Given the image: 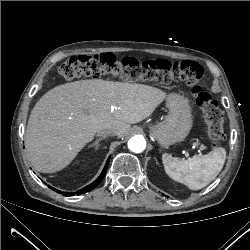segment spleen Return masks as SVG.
I'll list each match as a JSON object with an SVG mask.
<instances>
[{
  "label": "spleen",
  "instance_id": "3e777b00",
  "mask_svg": "<svg viewBox=\"0 0 250 250\" xmlns=\"http://www.w3.org/2000/svg\"><path fill=\"white\" fill-rule=\"evenodd\" d=\"M226 159V150L215 148L207 155H195L181 160L168 153L162 155L165 172L173 180L183 183L192 190L207 186L220 173Z\"/></svg>",
  "mask_w": 250,
  "mask_h": 250
}]
</instances>
